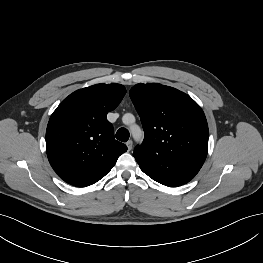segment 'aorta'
<instances>
[{"instance_id":"obj_1","label":"aorta","mask_w":263,"mask_h":263,"mask_svg":"<svg viewBox=\"0 0 263 263\" xmlns=\"http://www.w3.org/2000/svg\"><path fill=\"white\" fill-rule=\"evenodd\" d=\"M129 117V118H133V116L131 114H128V115H125L124 117ZM131 132H132V135L133 137L136 139V140H139L141 139L142 137V131L140 130V128L136 125H133L131 126Z\"/></svg>"}]
</instances>
